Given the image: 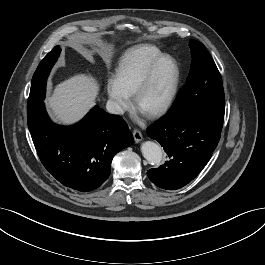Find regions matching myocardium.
I'll list each match as a JSON object with an SVG mask.
<instances>
[{"label": "myocardium", "mask_w": 265, "mask_h": 265, "mask_svg": "<svg viewBox=\"0 0 265 265\" xmlns=\"http://www.w3.org/2000/svg\"><path fill=\"white\" fill-rule=\"evenodd\" d=\"M163 62H169L172 66V72H173V78L172 83L168 92V95L166 96L165 100L156 108L148 111V112H142L145 116L148 118H157L162 115H164L173 105L178 88L180 83V68L177 63V61L170 55H161L158 58H156L149 66L147 71L145 72L144 76L136 86L133 94H132V101L134 108L138 109V104L140 99L142 98L143 94L149 87L158 67Z\"/></svg>", "instance_id": "obj_1"}]
</instances>
